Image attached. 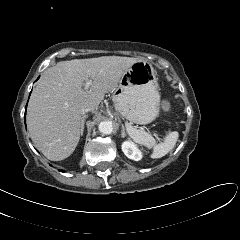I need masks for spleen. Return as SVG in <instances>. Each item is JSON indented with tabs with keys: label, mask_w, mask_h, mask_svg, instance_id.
Instances as JSON below:
<instances>
[{
	"label": "spleen",
	"mask_w": 240,
	"mask_h": 240,
	"mask_svg": "<svg viewBox=\"0 0 240 240\" xmlns=\"http://www.w3.org/2000/svg\"><path fill=\"white\" fill-rule=\"evenodd\" d=\"M127 132L129 136L138 144L144 145L147 148L153 147L152 158H161L169 153L175 146L178 139V132L174 131L169 133L163 143L156 144L155 139L146 131L139 130L127 125Z\"/></svg>",
	"instance_id": "3e777b00"
}]
</instances>
